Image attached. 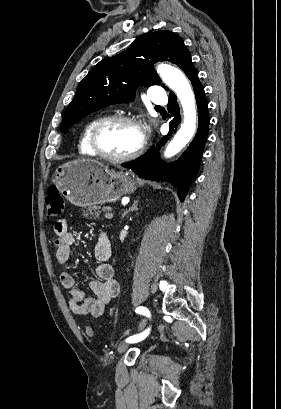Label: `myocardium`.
<instances>
[{"instance_id": "myocardium-1", "label": "myocardium", "mask_w": 281, "mask_h": 409, "mask_svg": "<svg viewBox=\"0 0 281 409\" xmlns=\"http://www.w3.org/2000/svg\"><path fill=\"white\" fill-rule=\"evenodd\" d=\"M116 122L127 123V124L134 126L141 135V142L139 146L133 152L123 155V156H117V157L106 154L102 150L101 144H100L101 134L103 130L105 129V127H107L108 125L112 123H116ZM146 142H147V139H146L145 130L143 126L141 125V123L138 120L132 117L126 116V115H110V116H106L102 118L95 126L93 135H92V145H93V148L97 156H99L100 158L106 161L112 162V163H124V162H128V161L136 159L144 152L145 147H146Z\"/></svg>"}]
</instances>
